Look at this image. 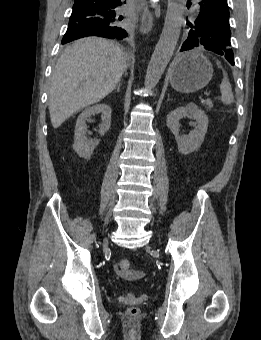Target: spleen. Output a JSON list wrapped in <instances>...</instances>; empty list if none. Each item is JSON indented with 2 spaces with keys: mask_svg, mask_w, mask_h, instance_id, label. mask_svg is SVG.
Returning a JSON list of instances; mask_svg holds the SVG:
<instances>
[{
  "mask_svg": "<svg viewBox=\"0 0 261 340\" xmlns=\"http://www.w3.org/2000/svg\"><path fill=\"white\" fill-rule=\"evenodd\" d=\"M220 91H221V101L225 105H230L234 101V96L231 88V84L226 76H224L221 84H220Z\"/></svg>",
  "mask_w": 261,
  "mask_h": 340,
  "instance_id": "spleen-1",
  "label": "spleen"
}]
</instances>
